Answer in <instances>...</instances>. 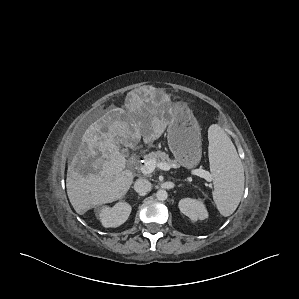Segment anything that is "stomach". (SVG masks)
<instances>
[{
  "mask_svg": "<svg viewBox=\"0 0 299 299\" xmlns=\"http://www.w3.org/2000/svg\"><path fill=\"white\" fill-rule=\"evenodd\" d=\"M168 145L176 161L187 169L196 167L202 155L201 128L186 103L166 107Z\"/></svg>",
  "mask_w": 299,
  "mask_h": 299,
  "instance_id": "stomach-1",
  "label": "stomach"
}]
</instances>
